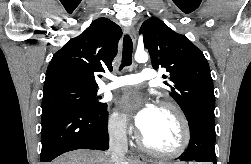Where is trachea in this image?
Here are the masks:
<instances>
[{
  "instance_id": "obj_1",
  "label": "trachea",
  "mask_w": 251,
  "mask_h": 164,
  "mask_svg": "<svg viewBox=\"0 0 251 164\" xmlns=\"http://www.w3.org/2000/svg\"><path fill=\"white\" fill-rule=\"evenodd\" d=\"M132 50L133 43L129 35H125L123 39V54H122V64L119 67L121 70L125 66H130L132 64Z\"/></svg>"
}]
</instances>
